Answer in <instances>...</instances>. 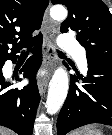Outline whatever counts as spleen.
Segmentation results:
<instances>
[{
  "instance_id": "obj_1",
  "label": "spleen",
  "mask_w": 112,
  "mask_h": 135,
  "mask_svg": "<svg viewBox=\"0 0 112 135\" xmlns=\"http://www.w3.org/2000/svg\"><path fill=\"white\" fill-rule=\"evenodd\" d=\"M71 135H84L82 131H75Z\"/></svg>"
}]
</instances>
